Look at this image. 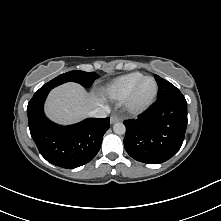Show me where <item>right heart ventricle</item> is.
I'll list each match as a JSON object with an SVG mask.
<instances>
[{
	"label": "right heart ventricle",
	"instance_id": "1",
	"mask_svg": "<svg viewBox=\"0 0 221 221\" xmlns=\"http://www.w3.org/2000/svg\"><path fill=\"white\" fill-rule=\"evenodd\" d=\"M143 77L144 75L139 72L119 76L105 87V93L110 99L123 100L128 96L134 85Z\"/></svg>",
	"mask_w": 221,
	"mask_h": 221
}]
</instances>
